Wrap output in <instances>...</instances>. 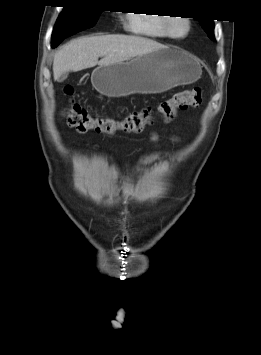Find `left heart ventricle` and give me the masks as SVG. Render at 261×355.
Returning <instances> with one entry per match:
<instances>
[{
  "instance_id": "obj_1",
  "label": "left heart ventricle",
  "mask_w": 261,
  "mask_h": 355,
  "mask_svg": "<svg viewBox=\"0 0 261 355\" xmlns=\"http://www.w3.org/2000/svg\"><path fill=\"white\" fill-rule=\"evenodd\" d=\"M172 31L176 35L184 34L185 31H186L185 23L183 21H181V20L175 21L174 24H173V27H172Z\"/></svg>"
}]
</instances>
